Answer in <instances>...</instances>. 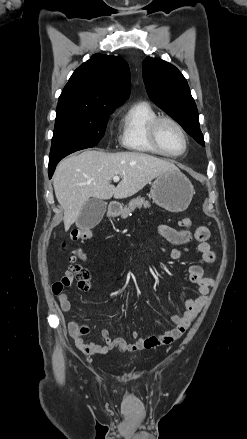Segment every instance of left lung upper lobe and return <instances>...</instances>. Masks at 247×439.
I'll return each instance as SVG.
<instances>
[{
  "instance_id": "left-lung-upper-lobe-1",
  "label": "left lung upper lobe",
  "mask_w": 247,
  "mask_h": 439,
  "mask_svg": "<svg viewBox=\"0 0 247 439\" xmlns=\"http://www.w3.org/2000/svg\"><path fill=\"white\" fill-rule=\"evenodd\" d=\"M142 72L150 99L204 146L197 107L181 72L168 62L151 57L143 61Z\"/></svg>"
}]
</instances>
